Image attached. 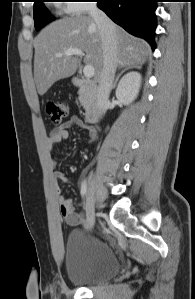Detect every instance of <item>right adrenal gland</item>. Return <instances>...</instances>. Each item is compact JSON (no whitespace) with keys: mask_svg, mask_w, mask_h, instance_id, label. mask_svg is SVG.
<instances>
[{"mask_svg":"<svg viewBox=\"0 0 195 299\" xmlns=\"http://www.w3.org/2000/svg\"><path fill=\"white\" fill-rule=\"evenodd\" d=\"M132 68H138V69H140V66L124 67V69H122V71L117 75V77H116V79H115V81H114V83H113L112 89H115V87H116V85H117V82H118L120 76H121L125 71H127V70H129V69H132Z\"/></svg>","mask_w":195,"mask_h":299,"instance_id":"obj_1","label":"right adrenal gland"}]
</instances>
